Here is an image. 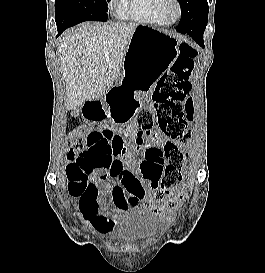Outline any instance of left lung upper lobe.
Instances as JSON below:
<instances>
[{
  "mask_svg": "<svg viewBox=\"0 0 265 273\" xmlns=\"http://www.w3.org/2000/svg\"><path fill=\"white\" fill-rule=\"evenodd\" d=\"M179 4L181 6V14L188 12L191 10L192 6L194 5L193 2L195 0H178ZM204 15H205V22L207 23L208 20V7L207 9H205L204 11Z\"/></svg>",
  "mask_w": 265,
  "mask_h": 273,
  "instance_id": "left-lung-upper-lobe-1",
  "label": "left lung upper lobe"
}]
</instances>
